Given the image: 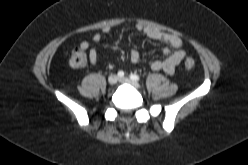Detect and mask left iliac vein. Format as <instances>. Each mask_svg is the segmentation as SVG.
<instances>
[{
  "label": "left iliac vein",
  "mask_w": 248,
  "mask_h": 165,
  "mask_svg": "<svg viewBox=\"0 0 248 165\" xmlns=\"http://www.w3.org/2000/svg\"><path fill=\"white\" fill-rule=\"evenodd\" d=\"M119 81L122 82V83L130 84V85H132L135 88H139L140 87V85H139L138 82L133 81V80L129 79L128 77L119 78Z\"/></svg>",
  "instance_id": "left-iliac-vein-1"
}]
</instances>
